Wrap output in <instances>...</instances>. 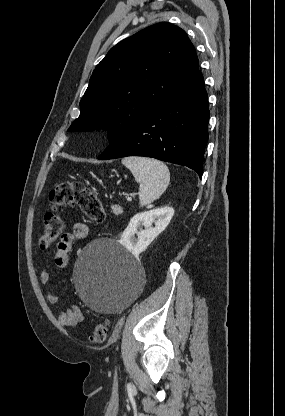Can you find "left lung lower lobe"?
Returning <instances> with one entry per match:
<instances>
[{
    "mask_svg": "<svg viewBox=\"0 0 285 416\" xmlns=\"http://www.w3.org/2000/svg\"><path fill=\"white\" fill-rule=\"evenodd\" d=\"M208 120V96L198 70L175 95L118 136L98 159L152 157L185 165L201 177Z\"/></svg>",
    "mask_w": 285,
    "mask_h": 416,
    "instance_id": "left-lung-lower-lobe-1",
    "label": "left lung lower lobe"
}]
</instances>
